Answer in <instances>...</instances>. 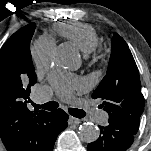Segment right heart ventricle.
Returning <instances> with one entry per match:
<instances>
[{"label":"right heart ventricle","mask_w":151,"mask_h":151,"mask_svg":"<svg viewBox=\"0 0 151 151\" xmlns=\"http://www.w3.org/2000/svg\"><path fill=\"white\" fill-rule=\"evenodd\" d=\"M53 32L76 44L85 54L93 52L99 44L98 36L94 28L84 23H59L53 27Z\"/></svg>","instance_id":"e07e8e85"}]
</instances>
